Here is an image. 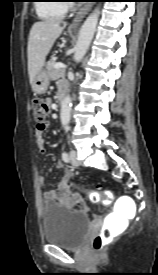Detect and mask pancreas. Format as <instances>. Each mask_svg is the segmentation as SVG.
<instances>
[{
	"label": "pancreas",
	"instance_id": "obj_1",
	"mask_svg": "<svg viewBox=\"0 0 158 275\" xmlns=\"http://www.w3.org/2000/svg\"><path fill=\"white\" fill-rule=\"evenodd\" d=\"M56 58H51L48 66H47V73L49 76V79L51 80H56L60 77H63L65 75V69L63 68H55V64H56Z\"/></svg>",
	"mask_w": 158,
	"mask_h": 275
}]
</instances>
